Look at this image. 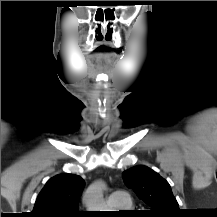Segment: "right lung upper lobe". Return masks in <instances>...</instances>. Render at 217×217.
I'll return each instance as SVG.
<instances>
[{
  "label": "right lung upper lobe",
  "instance_id": "cb5924a9",
  "mask_svg": "<svg viewBox=\"0 0 217 217\" xmlns=\"http://www.w3.org/2000/svg\"><path fill=\"white\" fill-rule=\"evenodd\" d=\"M84 180L74 174H59L39 193L30 217H80L79 197Z\"/></svg>",
  "mask_w": 217,
  "mask_h": 217
}]
</instances>
